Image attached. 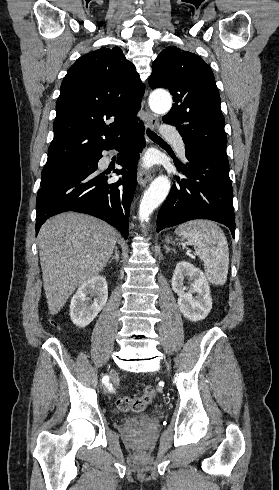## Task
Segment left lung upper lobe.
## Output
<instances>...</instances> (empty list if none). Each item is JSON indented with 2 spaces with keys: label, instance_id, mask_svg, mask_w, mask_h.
Segmentation results:
<instances>
[{
  "label": "left lung upper lobe",
  "instance_id": "5c2ea615",
  "mask_svg": "<svg viewBox=\"0 0 279 490\" xmlns=\"http://www.w3.org/2000/svg\"><path fill=\"white\" fill-rule=\"evenodd\" d=\"M152 89L167 88L175 104L163 121L177 127L186 144H204L226 155L227 138L213 72L199 56L177 47L152 64Z\"/></svg>",
  "mask_w": 279,
  "mask_h": 490
}]
</instances>
